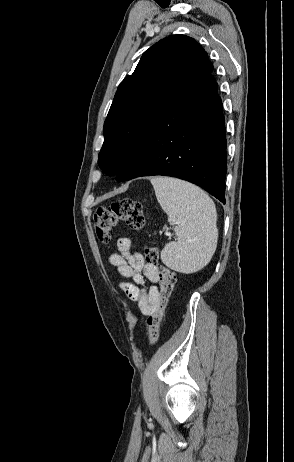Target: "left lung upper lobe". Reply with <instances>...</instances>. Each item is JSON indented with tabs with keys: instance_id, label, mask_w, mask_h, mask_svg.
<instances>
[{
	"instance_id": "obj_1",
	"label": "left lung upper lobe",
	"mask_w": 294,
	"mask_h": 462,
	"mask_svg": "<svg viewBox=\"0 0 294 462\" xmlns=\"http://www.w3.org/2000/svg\"><path fill=\"white\" fill-rule=\"evenodd\" d=\"M212 71L207 53L185 35H171L146 50L115 94L104 123L100 168L109 176L117 174L156 115L189 83Z\"/></svg>"
}]
</instances>
